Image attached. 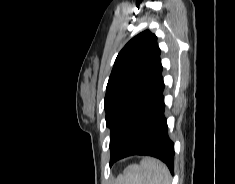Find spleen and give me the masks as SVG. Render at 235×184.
Masks as SVG:
<instances>
[{
	"label": "spleen",
	"mask_w": 235,
	"mask_h": 184,
	"mask_svg": "<svg viewBox=\"0 0 235 184\" xmlns=\"http://www.w3.org/2000/svg\"><path fill=\"white\" fill-rule=\"evenodd\" d=\"M118 184H171L170 172L160 160L146 158L140 166H128Z\"/></svg>",
	"instance_id": "3e777b00"
}]
</instances>
